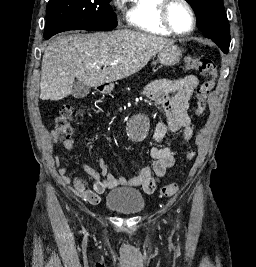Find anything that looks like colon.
I'll return each mask as SVG.
<instances>
[{"mask_svg": "<svg viewBox=\"0 0 256 267\" xmlns=\"http://www.w3.org/2000/svg\"><path fill=\"white\" fill-rule=\"evenodd\" d=\"M186 65L205 77V81L198 86L195 93L194 111L197 116H200L205 110L207 97L214 88L217 65L210 57H189ZM74 114L75 110L71 106H64L59 110L55 118V130L59 138L66 139L72 136L70 121ZM192 156V152H186L187 161H190ZM159 191L162 196L171 197L177 193L178 185L176 183L163 185Z\"/></svg>", "mask_w": 256, "mask_h": 267, "instance_id": "obj_1", "label": "colon"}]
</instances>
